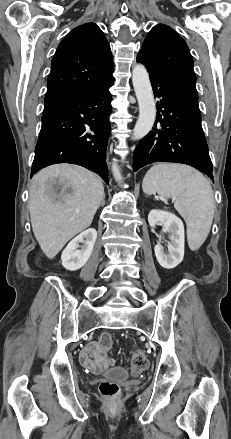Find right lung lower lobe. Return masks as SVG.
Masks as SVG:
<instances>
[{
    "mask_svg": "<svg viewBox=\"0 0 231 439\" xmlns=\"http://www.w3.org/2000/svg\"><path fill=\"white\" fill-rule=\"evenodd\" d=\"M113 83L114 78L43 112L31 177L46 166L72 163L97 173L108 184L105 161Z\"/></svg>",
    "mask_w": 231,
    "mask_h": 439,
    "instance_id": "right-lung-lower-lobe-1",
    "label": "right lung lower lobe"
}]
</instances>
